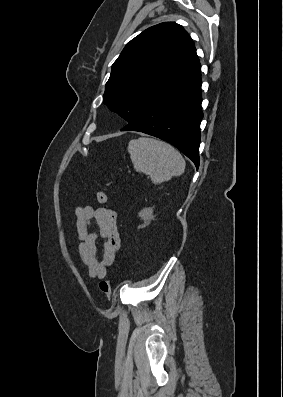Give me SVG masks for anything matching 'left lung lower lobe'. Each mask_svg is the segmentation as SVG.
<instances>
[{
	"label": "left lung lower lobe",
	"instance_id": "0a47b994",
	"mask_svg": "<svg viewBox=\"0 0 283 397\" xmlns=\"http://www.w3.org/2000/svg\"><path fill=\"white\" fill-rule=\"evenodd\" d=\"M201 71L144 110L121 131H139L165 140L199 167Z\"/></svg>",
	"mask_w": 283,
	"mask_h": 397
}]
</instances>
